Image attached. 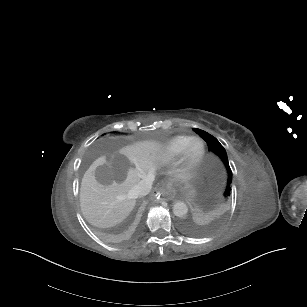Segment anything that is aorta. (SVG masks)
<instances>
[{
    "label": "aorta",
    "mask_w": 307,
    "mask_h": 307,
    "mask_svg": "<svg viewBox=\"0 0 307 307\" xmlns=\"http://www.w3.org/2000/svg\"><path fill=\"white\" fill-rule=\"evenodd\" d=\"M187 212H188V207L184 202L178 201L174 204L173 213L175 216L183 217L187 214Z\"/></svg>",
    "instance_id": "obj_1"
}]
</instances>
